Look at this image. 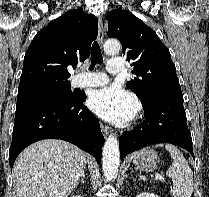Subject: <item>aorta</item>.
Masks as SVG:
<instances>
[{
	"instance_id": "762f6f07",
	"label": "aorta",
	"mask_w": 209,
	"mask_h": 197,
	"mask_svg": "<svg viewBox=\"0 0 209 197\" xmlns=\"http://www.w3.org/2000/svg\"><path fill=\"white\" fill-rule=\"evenodd\" d=\"M120 51V43L117 40H107L104 43V52L108 55H116ZM103 173L107 180H113L117 177L120 152L118 140L115 135H109L103 146Z\"/></svg>"
}]
</instances>
